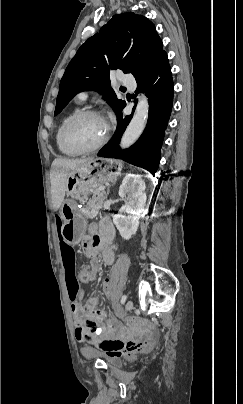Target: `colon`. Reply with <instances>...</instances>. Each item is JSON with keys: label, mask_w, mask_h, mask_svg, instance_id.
I'll use <instances>...</instances> for the list:
<instances>
[{"label": "colon", "mask_w": 243, "mask_h": 404, "mask_svg": "<svg viewBox=\"0 0 243 404\" xmlns=\"http://www.w3.org/2000/svg\"><path fill=\"white\" fill-rule=\"evenodd\" d=\"M78 278L82 283L92 282L95 278V272L92 265L89 263H82L79 266ZM103 290L107 296L112 294V285L109 278L105 279ZM96 344L98 347L108 351L109 353L118 355H134L149 350L154 345V340L151 336L146 334L140 338L129 341L106 337L99 340Z\"/></svg>", "instance_id": "5ec220e1"}]
</instances>
